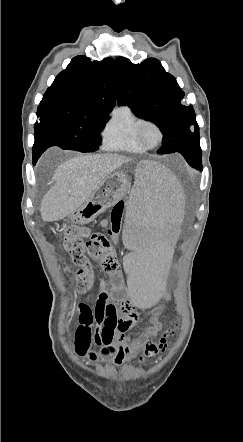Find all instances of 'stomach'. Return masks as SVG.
Segmentation results:
<instances>
[{
	"label": "stomach",
	"instance_id": "stomach-1",
	"mask_svg": "<svg viewBox=\"0 0 243 442\" xmlns=\"http://www.w3.org/2000/svg\"><path fill=\"white\" fill-rule=\"evenodd\" d=\"M130 181L123 172L108 175L88 200L70 214L75 224H87L122 199L129 191Z\"/></svg>",
	"mask_w": 243,
	"mask_h": 442
}]
</instances>
